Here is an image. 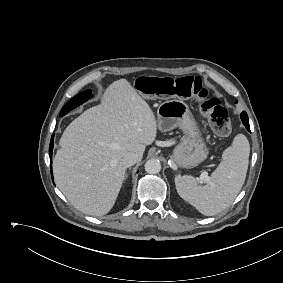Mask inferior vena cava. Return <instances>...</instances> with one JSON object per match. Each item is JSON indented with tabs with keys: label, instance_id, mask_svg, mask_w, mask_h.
<instances>
[{
	"label": "inferior vena cava",
	"instance_id": "602c4592",
	"mask_svg": "<svg viewBox=\"0 0 283 283\" xmlns=\"http://www.w3.org/2000/svg\"><path fill=\"white\" fill-rule=\"evenodd\" d=\"M137 161L138 155L133 152L126 153L122 158V163L126 168L134 165Z\"/></svg>",
	"mask_w": 283,
	"mask_h": 283
}]
</instances>
